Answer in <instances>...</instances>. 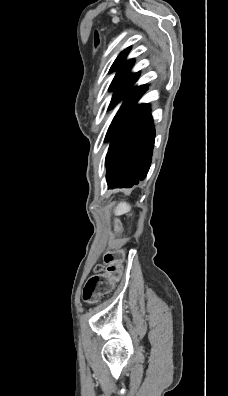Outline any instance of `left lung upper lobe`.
Here are the masks:
<instances>
[{"label":"left lung upper lobe","mask_w":228,"mask_h":396,"mask_svg":"<svg viewBox=\"0 0 228 396\" xmlns=\"http://www.w3.org/2000/svg\"><path fill=\"white\" fill-rule=\"evenodd\" d=\"M131 47L123 50L114 61L110 72L117 69V73L110 85V90H114V94L110 103L113 106L127 91L131 89L139 77V73H130V69L134 64V59L124 61Z\"/></svg>","instance_id":"1"}]
</instances>
